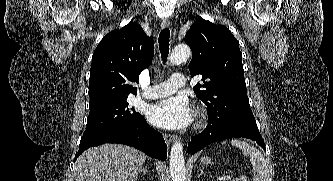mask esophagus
<instances>
[{
  "mask_svg": "<svg viewBox=\"0 0 333 181\" xmlns=\"http://www.w3.org/2000/svg\"><path fill=\"white\" fill-rule=\"evenodd\" d=\"M169 26H170V21L168 19H162L161 27L165 29ZM163 137L167 143H172L178 139L176 135H171V134H164Z\"/></svg>",
  "mask_w": 333,
  "mask_h": 181,
  "instance_id": "obj_1",
  "label": "esophagus"
}]
</instances>
